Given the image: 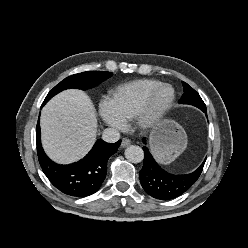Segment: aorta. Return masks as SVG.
I'll return each instance as SVG.
<instances>
[{"label":"aorta","instance_id":"1","mask_svg":"<svg viewBox=\"0 0 248 248\" xmlns=\"http://www.w3.org/2000/svg\"><path fill=\"white\" fill-rule=\"evenodd\" d=\"M125 158L132 163H139L144 158V152L141 147L136 145L128 146L125 149Z\"/></svg>","mask_w":248,"mask_h":248}]
</instances>
